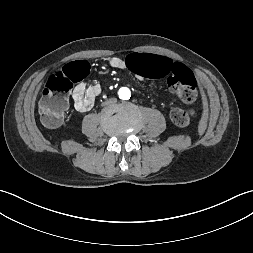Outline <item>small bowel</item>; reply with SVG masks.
<instances>
[{
    "instance_id": "small-bowel-1",
    "label": "small bowel",
    "mask_w": 253,
    "mask_h": 253,
    "mask_svg": "<svg viewBox=\"0 0 253 253\" xmlns=\"http://www.w3.org/2000/svg\"><path fill=\"white\" fill-rule=\"evenodd\" d=\"M128 56L126 58L110 56L107 59V63L111 68L114 69H127L126 61ZM100 93L101 87L99 84L88 86L83 82L79 83L72 92V99L74 101L75 109L79 112L89 111L93 107L95 100Z\"/></svg>"
}]
</instances>
